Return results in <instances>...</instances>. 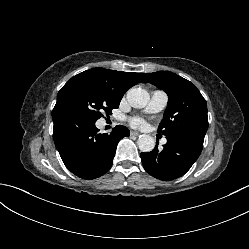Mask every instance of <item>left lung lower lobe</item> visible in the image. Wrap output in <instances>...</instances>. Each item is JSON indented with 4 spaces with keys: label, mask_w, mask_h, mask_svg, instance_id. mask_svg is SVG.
Instances as JSON below:
<instances>
[{
    "label": "left lung lower lobe",
    "mask_w": 249,
    "mask_h": 249,
    "mask_svg": "<svg viewBox=\"0 0 249 249\" xmlns=\"http://www.w3.org/2000/svg\"><path fill=\"white\" fill-rule=\"evenodd\" d=\"M167 143L159 151L157 144L148 153H141L144 169L157 179L168 181L183 176L198 159L204 136L177 133L166 136Z\"/></svg>",
    "instance_id": "left-lung-lower-lobe-1"
}]
</instances>
